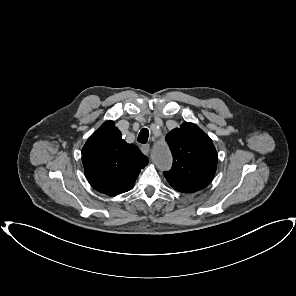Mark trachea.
I'll list each match as a JSON object with an SVG mask.
<instances>
[{
  "label": "trachea",
  "instance_id": "3493384b",
  "mask_svg": "<svg viewBox=\"0 0 296 296\" xmlns=\"http://www.w3.org/2000/svg\"><path fill=\"white\" fill-rule=\"evenodd\" d=\"M148 137H149V130L147 128H143L140 131L137 140L139 143L145 144L148 141Z\"/></svg>",
  "mask_w": 296,
  "mask_h": 296
}]
</instances>
